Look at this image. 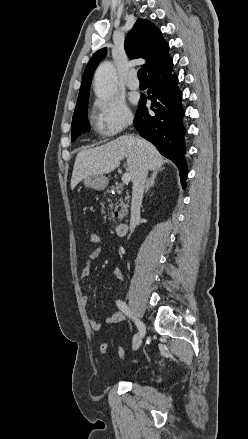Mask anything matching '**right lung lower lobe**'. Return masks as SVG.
<instances>
[{"label": "right lung lower lobe", "mask_w": 248, "mask_h": 439, "mask_svg": "<svg viewBox=\"0 0 248 439\" xmlns=\"http://www.w3.org/2000/svg\"><path fill=\"white\" fill-rule=\"evenodd\" d=\"M172 68L173 62L149 74L148 99L152 104L148 109L145 105L146 97L141 96L133 122L143 138L153 143L163 156L176 164L185 188L188 171L184 158V110L181 104L182 93L177 87L178 78L171 74Z\"/></svg>", "instance_id": "98d812e1"}]
</instances>
